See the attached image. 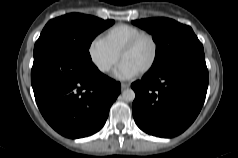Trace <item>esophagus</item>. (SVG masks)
Returning a JSON list of instances; mask_svg holds the SVG:
<instances>
[{
  "label": "esophagus",
  "instance_id": "1",
  "mask_svg": "<svg viewBox=\"0 0 238 158\" xmlns=\"http://www.w3.org/2000/svg\"><path fill=\"white\" fill-rule=\"evenodd\" d=\"M121 87H122V89H127V88L130 87V84L129 83H122Z\"/></svg>",
  "mask_w": 238,
  "mask_h": 158
}]
</instances>
